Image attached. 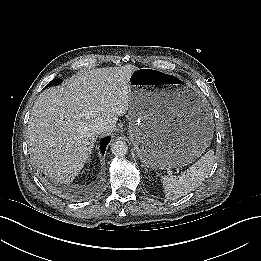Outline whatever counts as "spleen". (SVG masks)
Returning <instances> with one entry per match:
<instances>
[{
    "label": "spleen",
    "instance_id": "1",
    "mask_svg": "<svg viewBox=\"0 0 261 261\" xmlns=\"http://www.w3.org/2000/svg\"><path fill=\"white\" fill-rule=\"evenodd\" d=\"M214 164V152L209 150L179 176H163L162 184L167 199H178L194 191L208 176Z\"/></svg>",
    "mask_w": 261,
    "mask_h": 261
}]
</instances>
